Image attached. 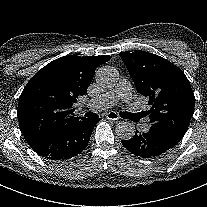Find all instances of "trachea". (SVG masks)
Returning <instances> with one entry per match:
<instances>
[{"instance_id":"trachea-1","label":"trachea","mask_w":207,"mask_h":207,"mask_svg":"<svg viewBox=\"0 0 207 207\" xmlns=\"http://www.w3.org/2000/svg\"><path fill=\"white\" fill-rule=\"evenodd\" d=\"M85 116H86V117H89V118H97V117H98V115L95 114L94 112H87V113L85 114Z\"/></svg>"}]
</instances>
